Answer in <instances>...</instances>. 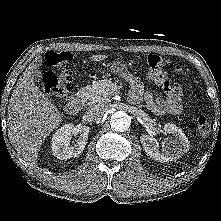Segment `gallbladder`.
I'll list each match as a JSON object with an SVG mask.
<instances>
[{
	"label": "gallbladder",
	"mask_w": 221,
	"mask_h": 221,
	"mask_svg": "<svg viewBox=\"0 0 221 221\" xmlns=\"http://www.w3.org/2000/svg\"><path fill=\"white\" fill-rule=\"evenodd\" d=\"M33 79L36 82H40L42 79V73L39 70H34L32 73Z\"/></svg>",
	"instance_id": "bac80fb5"
}]
</instances>
